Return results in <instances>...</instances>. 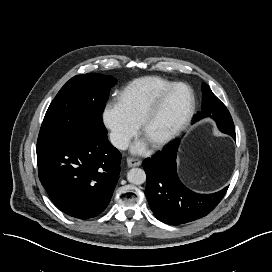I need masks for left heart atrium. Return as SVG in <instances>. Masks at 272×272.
Returning a JSON list of instances; mask_svg holds the SVG:
<instances>
[{
    "mask_svg": "<svg viewBox=\"0 0 272 272\" xmlns=\"http://www.w3.org/2000/svg\"><path fill=\"white\" fill-rule=\"evenodd\" d=\"M144 144L142 143H137L134 147H133V150L135 152H142L144 150Z\"/></svg>",
    "mask_w": 272,
    "mask_h": 272,
    "instance_id": "obj_1",
    "label": "left heart atrium"
}]
</instances>
